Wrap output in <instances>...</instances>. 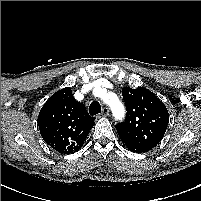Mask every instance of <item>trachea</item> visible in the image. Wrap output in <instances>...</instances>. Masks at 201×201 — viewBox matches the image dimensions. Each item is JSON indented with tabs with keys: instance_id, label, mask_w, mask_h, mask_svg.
I'll return each mask as SVG.
<instances>
[{
	"instance_id": "obj_1",
	"label": "trachea",
	"mask_w": 201,
	"mask_h": 201,
	"mask_svg": "<svg viewBox=\"0 0 201 201\" xmlns=\"http://www.w3.org/2000/svg\"><path fill=\"white\" fill-rule=\"evenodd\" d=\"M101 112V105L98 101H93L89 106L90 115H97Z\"/></svg>"
}]
</instances>
